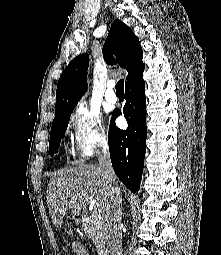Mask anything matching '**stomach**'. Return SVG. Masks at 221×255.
<instances>
[{
  "instance_id": "stomach-1",
  "label": "stomach",
  "mask_w": 221,
  "mask_h": 255,
  "mask_svg": "<svg viewBox=\"0 0 221 255\" xmlns=\"http://www.w3.org/2000/svg\"><path fill=\"white\" fill-rule=\"evenodd\" d=\"M72 217L76 221H81V219L83 218L82 210H73Z\"/></svg>"
}]
</instances>
